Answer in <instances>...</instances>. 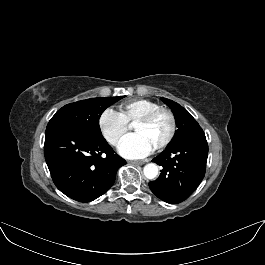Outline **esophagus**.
Instances as JSON below:
<instances>
[{"mask_svg": "<svg viewBox=\"0 0 265 265\" xmlns=\"http://www.w3.org/2000/svg\"><path fill=\"white\" fill-rule=\"evenodd\" d=\"M129 164H131V165H143L144 162L143 161H129Z\"/></svg>", "mask_w": 265, "mask_h": 265, "instance_id": "1", "label": "esophagus"}]
</instances>
